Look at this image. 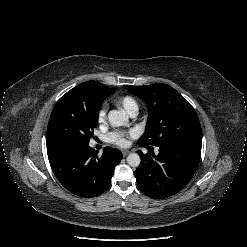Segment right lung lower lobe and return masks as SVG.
<instances>
[{"mask_svg":"<svg viewBox=\"0 0 247 247\" xmlns=\"http://www.w3.org/2000/svg\"><path fill=\"white\" fill-rule=\"evenodd\" d=\"M51 168L59 182L73 194L91 198L105 192L115 166L122 159L118 149L107 146L101 156L89 144H62L47 149Z\"/></svg>","mask_w":247,"mask_h":247,"instance_id":"98d812e1","label":"right lung lower lobe"}]
</instances>
